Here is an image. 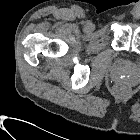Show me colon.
<instances>
[{
	"instance_id": "colon-1",
	"label": "colon",
	"mask_w": 140,
	"mask_h": 140,
	"mask_svg": "<svg viewBox=\"0 0 140 140\" xmlns=\"http://www.w3.org/2000/svg\"><path fill=\"white\" fill-rule=\"evenodd\" d=\"M130 92V86L125 82H119L114 87V93L118 96H126Z\"/></svg>"
}]
</instances>
